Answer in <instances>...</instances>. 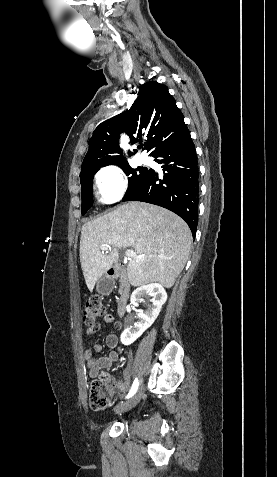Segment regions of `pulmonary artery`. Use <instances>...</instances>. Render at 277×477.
I'll list each match as a JSON object with an SVG mask.
<instances>
[{
  "label": "pulmonary artery",
  "mask_w": 277,
  "mask_h": 477,
  "mask_svg": "<svg viewBox=\"0 0 277 477\" xmlns=\"http://www.w3.org/2000/svg\"><path fill=\"white\" fill-rule=\"evenodd\" d=\"M147 160L148 159L145 156H140L139 159H138L139 163H146Z\"/></svg>",
  "instance_id": "1"
}]
</instances>
